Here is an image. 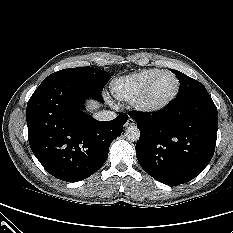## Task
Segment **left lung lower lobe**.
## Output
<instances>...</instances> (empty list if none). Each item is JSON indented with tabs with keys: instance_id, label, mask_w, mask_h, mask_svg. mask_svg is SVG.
Returning a JSON list of instances; mask_svg holds the SVG:
<instances>
[{
	"instance_id": "obj_1",
	"label": "left lung lower lobe",
	"mask_w": 233,
	"mask_h": 233,
	"mask_svg": "<svg viewBox=\"0 0 233 233\" xmlns=\"http://www.w3.org/2000/svg\"><path fill=\"white\" fill-rule=\"evenodd\" d=\"M140 138L136 156L150 176L167 185L186 183L199 175L215 151L217 108L206 89L173 101L167 109L129 113Z\"/></svg>"
}]
</instances>
